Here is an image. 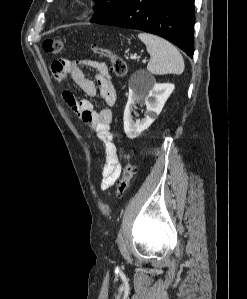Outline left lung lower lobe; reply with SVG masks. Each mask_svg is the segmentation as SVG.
<instances>
[{
    "label": "left lung lower lobe",
    "mask_w": 247,
    "mask_h": 299,
    "mask_svg": "<svg viewBox=\"0 0 247 299\" xmlns=\"http://www.w3.org/2000/svg\"><path fill=\"white\" fill-rule=\"evenodd\" d=\"M194 22V0H122L94 23L159 35L192 57Z\"/></svg>",
    "instance_id": "0a47b994"
}]
</instances>
